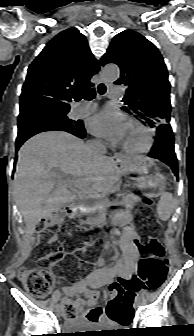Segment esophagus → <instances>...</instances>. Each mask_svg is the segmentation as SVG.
Returning <instances> with one entry per match:
<instances>
[{
	"mask_svg": "<svg viewBox=\"0 0 194 336\" xmlns=\"http://www.w3.org/2000/svg\"><path fill=\"white\" fill-rule=\"evenodd\" d=\"M99 82H100V83H105V84H106V81H105V80L102 78V76H101V72H99ZM119 157H120V154L116 153V154L114 155V157H113V161H114V162L118 161Z\"/></svg>",
	"mask_w": 194,
	"mask_h": 336,
	"instance_id": "obj_1",
	"label": "esophagus"
}]
</instances>
